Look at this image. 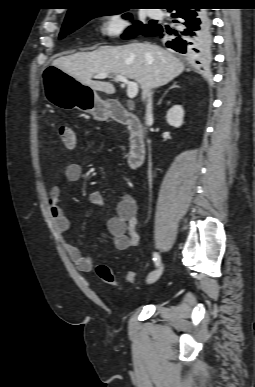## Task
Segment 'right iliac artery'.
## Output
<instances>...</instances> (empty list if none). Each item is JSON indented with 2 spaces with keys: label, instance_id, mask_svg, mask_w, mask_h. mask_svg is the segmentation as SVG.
Masks as SVG:
<instances>
[{
  "label": "right iliac artery",
  "instance_id": "82829eb1",
  "mask_svg": "<svg viewBox=\"0 0 255 387\" xmlns=\"http://www.w3.org/2000/svg\"><path fill=\"white\" fill-rule=\"evenodd\" d=\"M153 260L155 262V265L159 266V264H160V256L158 255V253H154L153 254Z\"/></svg>",
  "mask_w": 255,
  "mask_h": 387
}]
</instances>
